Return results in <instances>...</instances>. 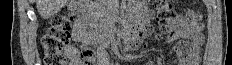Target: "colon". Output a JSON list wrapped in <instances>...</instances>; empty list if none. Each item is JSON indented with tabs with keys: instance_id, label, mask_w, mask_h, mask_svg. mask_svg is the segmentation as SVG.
<instances>
[{
	"instance_id": "1",
	"label": "colon",
	"mask_w": 232,
	"mask_h": 65,
	"mask_svg": "<svg viewBox=\"0 0 232 65\" xmlns=\"http://www.w3.org/2000/svg\"><path fill=\"white\" fill-rule=\"evenodd\" d=\"M154 7L157 12L158 21L163 32L169 31L176 20L175 12L167 0L154 1ZM188 18L193 23H198L199 15L191 12ZM76 19L73 13L55 16L51 21V27L42 39L44 48L45 65H66L65 46L69 41V29L71 23ZM176 51L180 56H186L190 47L186 42H179L176 45ZM81 59L84 65H93L95 61L94 53L91 50L82 52Z\"/></svg>"
}]
</instances>
